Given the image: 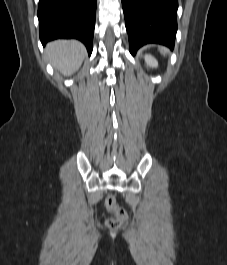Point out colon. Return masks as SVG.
I'll use <instances>...</instances> for the list:
<instances>
[{
	"label": "colon",
	"mask_w": 227,
	"mask_h": 265,
	"mask_svg": "<svg viewBox=\"0 0 227 265\" xmlns=\"http://www.w3.org/2000/svg\"><path fill=\"white\" fill-rule=\"evenodd\" d=\"M106 206L112 217L106 220V225L110 229L121 227L127 220V213L121 208L113 194H110L106 199Z\"/></svg>",
	"instance_id": "colon-1"
}]
</instances>
